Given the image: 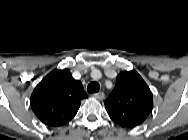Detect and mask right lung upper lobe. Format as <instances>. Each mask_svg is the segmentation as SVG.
<instances>
[{
  "label": "right lung upper lobe",
  "instance_id": "obj_1",
  "mask_svg": "<svg viewBox=\"0 0 188 140\" xmlns=\"http://www.w3.org/2000/svg\"><path fill=\"white\" fill-rule=\"evenodd\" d=\"M87 98L80 81L74 80L68 69L54 70L34 89L30 103L40 121L48 126H61L77 113L81 101Z\"/></svg>",
  "mask_w": 188,
  "mask_h": 140
}]
</instances>
